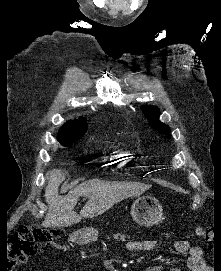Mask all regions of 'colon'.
Segmentation results:
<instances>
[{
    "mask_svg": "<svg viewBox=\"0 0 221 271\" xmlns=\"http://www.w3.org/2000/svg\"><path fill=\"white\" fill-rule=\"evenodd\" d=\"M202 239H210V232L204 227L197 230ZM62 231L59 229H45L32 224V218L26 220L24 227H19L12 233L9 239L8 259L11 267L23 263L29 256L35 254L39 243L50 242L59 237Z\"/></svg>",
    "mask_w": 221,
    "mask_h": 271,
    "instance_id": "obj_1",
    "label": "colon"
}]
</instances>
